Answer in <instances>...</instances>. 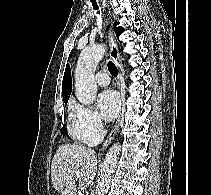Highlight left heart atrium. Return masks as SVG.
<instances>
[{"label":"left heart atrium","instance_id":"obj_1","mask_svg":"<svg viewBox=\"0 0 211 195\" xmlns=\"http://www.w3.org/2000/svg\"><path fill=\"white\" fill-rule=\"evenodd\" d=\"M98 108L102 117L107 121H112L120 109V99L113 90L101 92L97 99Z\"/></svg>","mask_w":211,"mask_h":195}]
</instances>
